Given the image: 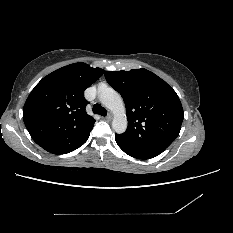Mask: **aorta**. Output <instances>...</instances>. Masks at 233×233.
Returning a JSON list of instances; mask_svg holds the SVG:
<instances>
[{"label": "aorta", "instance_id": "obj_1", "mask_svg": "<svg viewBox=\"0 0 233 233\" xmlns=\"http://www.w3.org/2000/svg\"><path fill=\"white\" fill-rule=\"evenodd\" d=\"M101 103L114 114L112 128L116 133H124L127 129V117L123 100L118 92L106 85L98 87Z\"/></svg>", "mask_w": 233, "mask_h": 233}]
</instances>
